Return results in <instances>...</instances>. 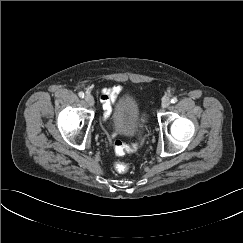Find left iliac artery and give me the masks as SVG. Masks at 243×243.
<instances>
[{
	"label": "left iliac artery",
	"instance_id": "left-iliac-artery-1",
	"mask_svg": "<svg viewBox=\"0 0 243 243\" xmlns=\"http://www.w3.org/2000/svg\"><path fill=\"white\" fill-rule=\"evenodd\" d=\"M178 101V99H177V97H173L172 99H171V103H176Z\"/></svg>",
	"mask_w": 243,
	"mask_h": 243
}]
</instances>
